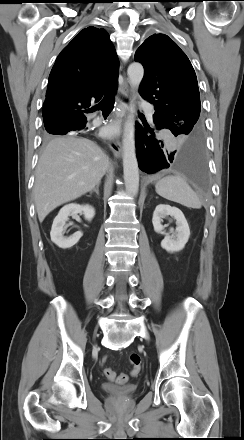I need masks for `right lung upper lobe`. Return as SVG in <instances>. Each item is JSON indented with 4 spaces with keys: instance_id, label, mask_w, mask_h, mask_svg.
Here are the masks:
<instances>
[{
    "instance_id": "1",
    "label": "right lung upper lobe",
    "mask_w": 244,
    "mask_h": 440,
    "mask_svg": "<svg viewBox=\"0 0 244 440\" xmlns=\"http://www.w3.org/2000/svg\"><path fill=\"white\" fill-rule=\"evenodd\" d=\"M119 62L104 29H83L58 55L43 105L45 127L86 120L83 108L115 92Z\"/></svg>"
}]
</instances>
